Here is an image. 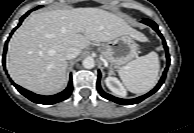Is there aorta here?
<instances>
[{
	"instance_id": "1",
	"label": "aorta",
	"mask_w": 194,
	"mask_h": 133,
	"mask_svg": "<svg viewBox=\"0 0 194 133\" xmlns=\"http://www.w3.org/2000/svg\"><path fill=\"white\" fill-rule=\"evenodd\" d=\"M82 64H83L84 68L91 69L95 66V61L93 58L87 57L83 60Z\"/></svg>"
}]
</instances>
